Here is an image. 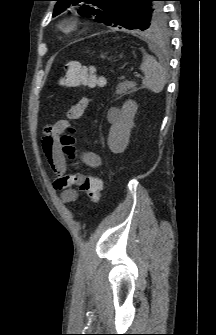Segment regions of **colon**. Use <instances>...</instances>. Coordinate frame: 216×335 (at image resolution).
<instances>
[{"label":"colon","instance_id":"colon-1","mask_svg":"<svg viewBox=\"0 0 216 335\" xmlns=\"http://www.w3.org/2000/svg\"><path fill=\"white\" fill-rule=\"evenodd\" d=\"M65 75L61 79V85L70 87L80 86H101L104 83L102 77L96 74L94 66L83 65L78 61H70L66 63ZM75 130L70 127L66 133L60 138L63 153L71 161L76 158L75 148ZM102 179L96 176L83 175L78 181L79 189L84 192L89 200L94 204H98L102 199Z\"/></svg>","mask_w":216,"mask_h":335}]
</instances>
